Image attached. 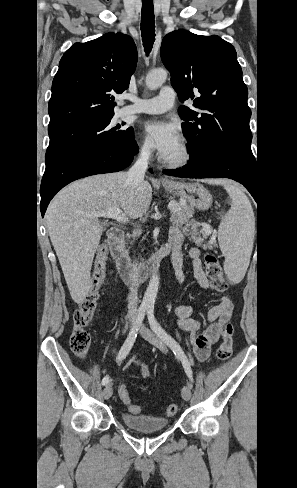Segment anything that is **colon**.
I'll list each match as a JSON object with an SVG mask.
<instances>
[{
	"mask_svg": "<svg viewBox=\"0 0 297 488\" xmlns=\"http://www.w3.org/2000/svg\"><path fill=\"white\" fill-rule=\"evenodd\" d=\"M107 256L108 247L105 244L100 245L96 252L92 283L86 296L73 315L74 328L70 337V348L80 359H84L87 356L90 348L91 336L88 331V326L96 311L100 291L105 280ZM205 269L213 288L219 292L225 291L228 285L223 276L222 267L213 254L207 253L205 255ZM232 335V325L229 322L224 323L221 328L222 342L216 351V356L220 361L227 360L232 354ZM118 388L117 395L120 397V401L125 403L131 413L138 414L140 407L131 403L128 396L129 391L126 389V383L119 382ZM177 411L178 406L176 404H170L165 414L171 417Z\"/></svg>",
	"mask_w": 297,
	"mask_h": 488,
	"instance_id": "obj_1",
	"label": "colon"
}]
</instances>
